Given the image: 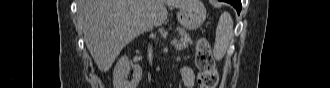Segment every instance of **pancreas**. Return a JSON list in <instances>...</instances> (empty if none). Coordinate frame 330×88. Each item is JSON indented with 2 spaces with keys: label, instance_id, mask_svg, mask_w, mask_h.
<instances>
[{
  "label": "pancreas",
  "instance_id": "cf45deb5",
  "mask_svg": "<svg viewBox=\"0 0 330 88\" xmlns=\"http://www.w3.org/2000/svg\"><path fill=\"white\" fill-rule=\"evenodd\" d=\"M178 32H179L181 38H180L178 44L176 45V49L180 51V50H183L186 47H188V45L190 43H192V40H191V37L187 34V32L184 29L178 28Z\"/></svg>",
  "mask_w": 330,
  "mask_h": 88
}]
</instances>
